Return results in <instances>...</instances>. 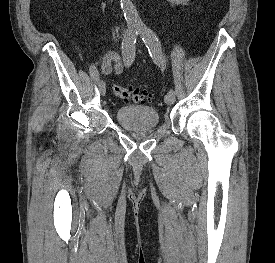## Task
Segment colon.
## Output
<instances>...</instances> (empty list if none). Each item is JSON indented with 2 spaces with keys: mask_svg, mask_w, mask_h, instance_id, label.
<instances>
[{
  "mask_svg": "<svg viewBox=\"0 0 275 263\" xmlns=\"http://www.w3.org/2000/svg\"><path fill=\"white\" fill-rule=\"evenodd\" d=\"M113 93L119 99L135 103L144 104L149 103L152 100V95L149 92L131 89L121 85H114Z\"/></svg>",
  "mask_w": 275,
  "mask_h": 263,
  "instance_id": "5ec220e1",
  "label": "colon"
}]
</instances>
